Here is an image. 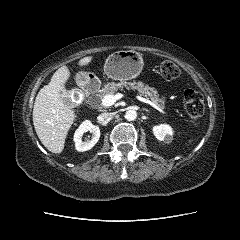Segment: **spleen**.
Segmentation results:
<instances>
[{
  "label": "spleen",
  "instance_id": "3e777b00",
  "mask_svg": "<svg viewBox=\"0 0 240 240\" xmlns=\"http://www.w3.org/2000/svg\"><path fill=\"white\" fill-rule=\"evenodd\" d=\"M191 142H192V140H189V142L187 143V145L190 144Z\"/></svg>",
  "mask_w": 240,
  "mask_h": 240
}]
</instances>
